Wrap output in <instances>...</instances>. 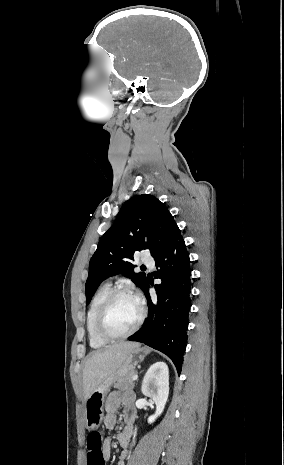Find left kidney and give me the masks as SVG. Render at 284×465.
<instances>
[{
  "label": "left kidney",
  "mask_w": 284,
  "mask_h": 465,
  "mask_svg": "<svg viewBox=\"0 0 284 465\" xmlns=\"http://www.w3.org/2000/svg\"><path fill=\"white\" fill-rule=\"evenodd\" d=\"M141 391L156 405L155 415H151L148 419V423H154L155 419L163 413L169 395V369L166 363L158 361L151 365L143 379Z\"/></svg>",
  "instance_id": "5707ae66"
}]
</instances>
